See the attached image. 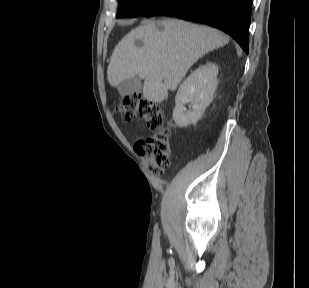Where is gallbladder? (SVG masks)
<instances>
[{
  "mask_svg": "<svg viewBox=\"0 0 309 288\" xmlns=\"http://www.w3.org/2000/svg\"><path fill=\"white\" fill-rule=\"evenodd\" d=\"M117 90L121 96L139 93L142 90L141 80L137 76L127 78L118 84Z\"/></svg>",
  "mask_w": 309,
  "mask_h": 288,
  "instance_id": "1",
  "label": "gallbladder"
}]
</instances>
